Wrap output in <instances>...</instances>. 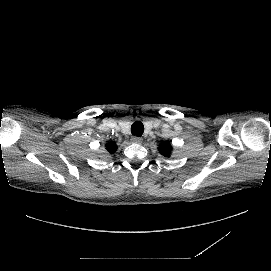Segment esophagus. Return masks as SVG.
Segmentation results:
<instances>
[{
  "mask_svg": "<svg viewBox=\"0 0 271 271\" xmlns=\"http://www.w3.org/2000/svg\"><path fill=\"white\" fill-rule=\"evenodd\" d=\"M130 141L132 143H135V144H140V143H142L143 139L141 137H138V136L137 137L136 136H132L131 139H130Z\"/></svg>",
  "mask_w": 271,
  "mask_h": 271,
  "instance_id": "34e87169",
  "label": "esophagus"
}]
</instances>
